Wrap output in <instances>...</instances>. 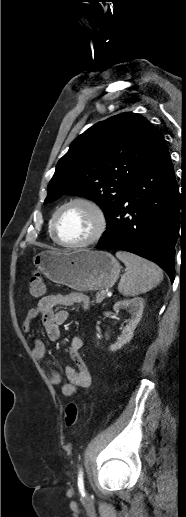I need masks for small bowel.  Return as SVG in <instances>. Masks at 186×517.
Segmentation results:
<instances>
[{
	"instance_id": "c3829d8e",
	"label": "small bowel",
	"mask_w": 186,
	"mask_h": 517,
	"mask_svg": "<svg viewBox=\"0 0 186 517\" xmlns=\"http://www.w3.org/2000/svg\"><path fill=\"white\" fill-rule=\"evenodd\" d=\"M74 305H81L87 309L90 305L88 296L79 292L45 296L35 307L28 310L22 329L25 333H29L33 322L41 317L48 339L52 342L58 341L61 335L59 327L67 321L69 314L66 310H56V307ZM82 346L83 340L80 336L72 337L67 352L78 370L72 366H67L65 368L67 381H63L61 375L54 369H45L50 384L60 387L61 393L66 397L75 395L78 388L87 390L92 385V374L79 353ZM33 352L38 360L45 358L46 346L41 339L34 341Z\"/></svg>"
}]
</instances>
